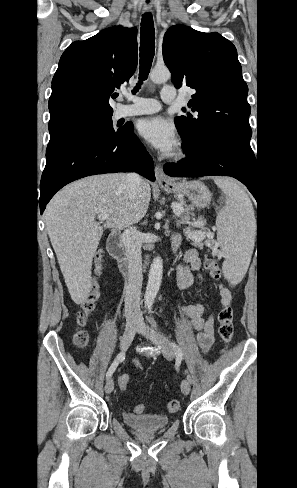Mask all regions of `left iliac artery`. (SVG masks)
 I'll list each match as a JSON object with an SVG mask.
<instances>
[{
  "mask_svg": "<svg viewBox=\"0 0 297 488\" xmlns=\"http://www.w3.org/2000/svg\"><path fill=\"white\" fill-rule=\"evenodd\" d=\"M149 312H151V309H149ZM172 346L176 350V356L181 358L183 356L182 350L175 343H172ZM187 379L191 382V377L189 375H187Z\"/></svg>",
  "mask_w": 297,
  "mask_h": 488,
  "instance_id": "1",
  "label": "left iliac artery"
}]
</instances>
